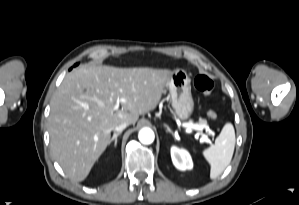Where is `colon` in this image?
<instances>
[{"label":"colon","mask_w":299,"mask_h":205,"mask_svg":"<svg viewBox=\"0 0 299 205\" xmlns=\"http://www.w3.org/2000/svg\"><path fill=\"white\" fill-rule=\"evenodd\" d=\"M194 86L195 88L201 92L203 95H210L214 89V83L211 78L207 75L201 74L196 76L194 79ZM208 116L211 119H216L217 115L213 110L208 111Z\"/></svg>","instance_id":"colon-1"}]
</instances>
